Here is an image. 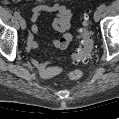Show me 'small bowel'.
<instances>
[{"instance_id":"1","label":"small bowel","mask_w":119,"mask_h":119,"mask_svg":"<svg viewBox=\"0 0 119 119\" xmlns=\"http://www.w3.org/2000/svg\"><path fill=\"white\" fill-rule=\"evenodd\" d=\"M55 14L53 21V28L61 33L59 38L53 39L51 42L54 47L59 49H66L72 39L68 30L71 25L72 12L65 5L54 3L51 5L39 4L31 9V21L32 27L31 32L28 35L27 46L29 50L36 49L38 47V42L36 37L39 36L40 30L37 24L39 18L43 14ZM31 63L38 70L40 76L44 79H51L63 72V67L49 62H42L35 57H31Z\"/></svg>"}]
</instances>
